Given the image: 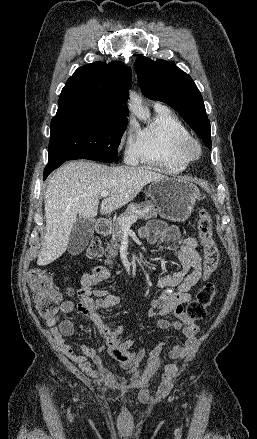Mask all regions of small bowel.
<instances>
[{
	"label": "small bowel",
	"mask_w": 257,
	"mask_h": 439,
	"mask_svg": "<svg viewBox=\"0 0 257 439\" xmlns=\"http://www.w3.org/2000/svg\"><path fill=\"white\" fill-rule=\"evenodd\" d=\"M139 234L152 245L159 242L172 245L174 247L173 254L181 265L180 270L165 274L158 279L157 287L162 291L156 299L151 301L147 311L149 317L157 315L161 317L157 323L161 329L182 332V342L173 346L169 352L170 359L179 361L193 347L198 332V326L195 322L186 320L184 310V304L191 299L190 290L203 280L202 258L197 251L198 241L192 236H182L178 227L158 220L151 221L142 227ZM104 281H110V272L104 266H95L90 272L84 274L80 290L93 299L82 298L78 304V310L93 321L100 333L102 338L100 345L88 346L69 341L68 338L75 332V325L69 319L60 320L59 315L48 317L46 324L51 327V331L61 345L63 352L91 378H96L98 374L89 360L94 363L97 369L104 370L103 354H107L117 361V366L113 369H121L134 374L142 368L149 374L154 373L161 364L164 343L161 342L152 349L144 360L145 348L143 346H137L134 340L121 339L122 326L107 324L100 314V311L114 308L121 302L118 296L97 288V285ZM57 303L61 314L71 313L75 309L74 303L63 299L59 293H57ZM169 314H172L177 320H168L166 316ZM175 369V364L166 366L165 381L172 378Z\"/></svg>",
	"instance_id": "1"
}]
</instances>
